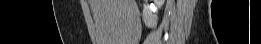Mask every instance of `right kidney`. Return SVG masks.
Listing matches in <instances>:
<instances>
[{
  "instance_id": "right-kidney-1",
  "label": "right kidney",
  "mask_w": 261,
  "mask_h": 44,
  "mask_svg": "<svg viewBox=\"0 0 261 44\" xmlns=\"http://www.w3.org/2000/svg\"><path fill=\"white\" fill-rule=\"evenodd\" d=\"M163 3L164 0H158L157 6L161 7ZM155 11H156V7L153 3L150 5H146L143 9L142 19L145 25L149 28L155 27V25L157 24V16L154 15Z\"/></svg>"
}]
</instances>
